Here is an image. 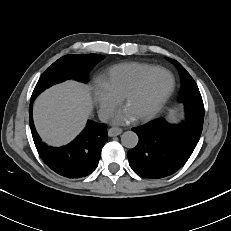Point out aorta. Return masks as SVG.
Instances as JSON below:
<instances>
[{"instance_id": "762f6f07", "label": "aorta", "mask_w": 231, "mask_h": 231, "mask_svg": "<svg viewBox=\"0 0 231 231\" xmlns=\"http://www.w3.org/2000/svg\"><path fill=\"white\" fill-rule=\"evenodd\" d=\"M138 135L133 131H126L121 136L122 145L126 148H134L138 144Z\"/></svg>"}]
</instances>
